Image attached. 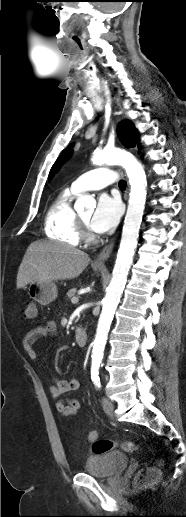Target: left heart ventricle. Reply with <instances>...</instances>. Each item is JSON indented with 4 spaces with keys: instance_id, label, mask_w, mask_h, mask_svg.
<instances>
[{
    "instance_id": "1",
    "label": "left heart ventricle",
    "mask_w": 186,
    "mask_h": 517,
    "mask_svg": "<svg viewBox=\"0 0 186 517\" xmlns=\"http://www.w3.org/2000/svg\"><path fill=\"white\" fill-rule=\"evenodd\" d=\"M91 214H92L91 212H87V213L82 214V215H81V217H82V219H83L84 221H86L87 223H89V221H90V217H91Z\"/></svg>"
}]
</instances>
